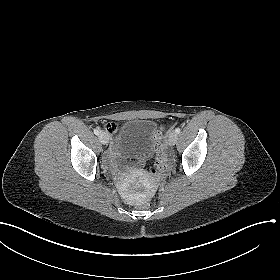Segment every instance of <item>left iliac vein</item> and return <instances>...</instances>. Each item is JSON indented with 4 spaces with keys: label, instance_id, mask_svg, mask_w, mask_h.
<instances>
[{
    "label": "left iliac vein",
    "instance_id": "4c4485c4",
    "mask_svg": "<svg viewBox=\"0 0 280 280\" xmlns=\"http://www.w3.org/2000/svg\"><path fill=\"white\" fill-rule=\"evenodd\" d=\"M177 141V133L175 131L170 132L169 137H168V142L170 145H175Z\"/></svg>",
    "mask_w": 280,
    "mask_h": 280
}]
</instances>
